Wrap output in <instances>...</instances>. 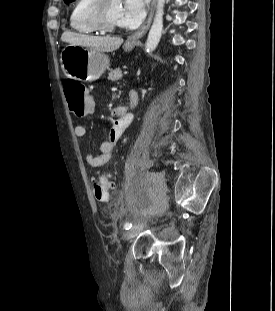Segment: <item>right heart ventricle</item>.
Instances as JSON below:
<instances>
[{
  "label": "right heart ventricle",
  "instance_id": "1",
  "mask_svg": "<svg viewBox=\"0 0 275 311\" xmlns=\"http://www.w3.org/2000/svg\"><path fill=\"white\" fill-rule=\"evenodd\" d=\"M92 0H75L69 14V25L73 31L81 34H95L98 30L87 17V8Z\"/></svg>",
  "mask_w": 275,
  "mask_h": 311
}]
</instances>
